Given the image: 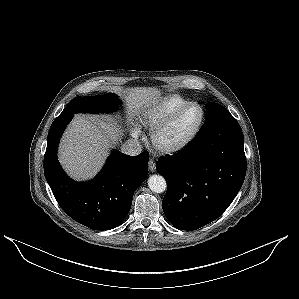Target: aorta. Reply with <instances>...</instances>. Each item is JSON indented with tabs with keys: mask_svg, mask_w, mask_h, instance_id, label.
Listing matches in <instances>:
<instances>
[{
	"mask_svg": "<svg viewBox=\"0 0 299 299\" xmlns=\"http://www.w3.org/2000/svg\"><path fill=\"white\" fill-rule=\"evenodd\" d=\"M148 186L152 192L163 193L166 188V180L161 175H152L148 179Z\"/></svg>",
	"mask_w": 299,
	"mask_h": 299,
	"instance_id": "aorta-1",
	"label": "aorta"
}]
</instances>
